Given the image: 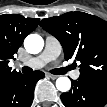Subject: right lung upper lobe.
I'll return each instance as SVG.
<instances>
[{"label":"right lung upper lobe","instance_id":"obj_1","mask_svg":"<svg viewBox=\"0 0 107 107\" xmlns=\"http://www.w3.org/2000/svg\"><path fill=\"white\" fill-rule=\"evenodd\" d=\"M39 23V19L24 18L18 14L0 16V78L18 73L8 67L9 59L22 45L24 38L31 33Z\"/></svg>","mask_w":107,"mask_h":107}]
</instances>
